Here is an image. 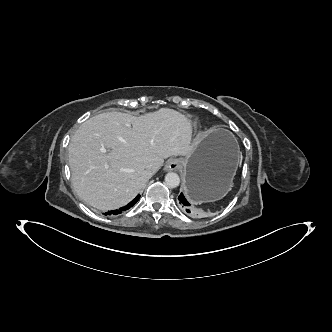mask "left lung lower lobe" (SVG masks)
<instances>
[{
	"label": "left lung lower lobe",
	"instance_id": "obj_1",
	"mask_svg": "<svg viewBox=\"0 0 332 332\" xmlns=\"http://www.w3.org/2000/svg\"><path fill=\"white\" fill-rule=\"evenodd\" d=\"M178 200H179L180 206L183 208V210L185 212L190 213L192 215H197V216L201 215V213L195 212L194 210H192L189 202L186 200V198L184 197V195L182 193L179 195Z\"/></svg>",
	"mask_w": 332,
	"mask_h": 332
}]
</instances>
